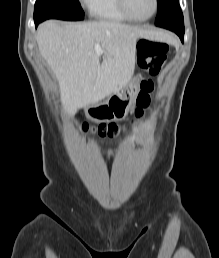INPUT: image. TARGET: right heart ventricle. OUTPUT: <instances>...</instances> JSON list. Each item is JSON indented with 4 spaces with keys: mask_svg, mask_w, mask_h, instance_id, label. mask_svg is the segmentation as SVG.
<instances>
[{
    "mask_svg": "<svg viewBox=\"0 0 219 258\" xmlns=\"http://www.w3.org/2000/svg\"><path fill=\"white\" fill-rule=\"evenodd\" d=\"M90 10L95 17L101 20L114 22L129 21L121 12L117 0H94Z\"/></svg>",
    "mask_w": 219,
    "mask_h": 258,
    "instance_id": "1",
    "label": "right heart ventricle"
}]
</instances>
